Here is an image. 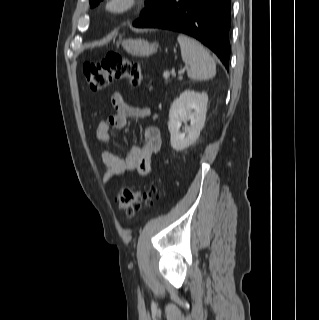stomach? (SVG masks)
<instances>
[{"label": "stomach", "mask_w": 319, "mask_h": 320, "mask_svg": "<svg viewBox=\"0 0 319 320\" xmlns=\"http://www.w3.org/2000/svg\"><path fill=\"white\" fill-rule=\"evenodd\" d=\"M118 44L134 56L147 57L156 52L157 47L144 39H120Z\"/></svg>", "instance_id": "0dacf381"}]
</instances>
